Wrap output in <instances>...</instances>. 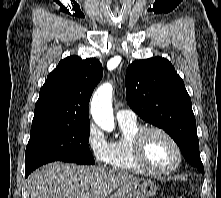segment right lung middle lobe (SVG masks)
<instances>
[{"label":"right lung middle lobe","mask_w":221,"mask_h":198,"mask_svg":"<svg viewBox=\"0 0 221 198\" xmlns=\"http://www.w3.org/2000/svg\"><path fill=\"white\" fill-rule=\"evenodd\" d=\"M90 124H32L25 151V172L52 161L94 164L88 141Z\"/></svg>","instance_id":"dd1d6c3e"}]
</instances>
